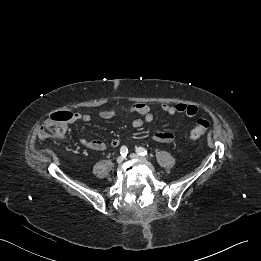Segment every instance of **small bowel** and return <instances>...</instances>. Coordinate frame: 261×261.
<instances>
[{"label":"small bowel","instance_id":"obj_1","mask_svg":"<svg viewBox=\"0 0 261 261\" xmlns=\"http://www.w3.org/2000/svg\"><path fill=\"white\" fill-rule=\"evenodd\" d=\"M161 109L164 113L168 115H174L177 113L184 114L187 117H195L198 113V109L194 105H188L184 103L176 104V105H169L163 104ZM73 119L72 122H89L91 120V115L88 113H72ZM131 114H138L139 117L131 118V124L133 127H141L144 123H149L153 120V114L151 107L147 104L138 103L134 104L128 108L122 109L120 111L115 110H105L99 113V117L103 120H109L116 116H129ZM62 139H66L68 137V127H64L62 133L59 136ZM153 140L157 142L163 143H172L175 140V135L170 131H161V130H154L151 134ZM80 143L85 146L86 148L93 149V150H104L106 148V144L98 139H86L81 138ZM121 143V140L118 138H114L109 142L111 147H118Z\"/></svg>","mask_w":261,"mask_h":261}]
</instances>
